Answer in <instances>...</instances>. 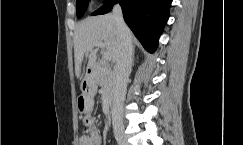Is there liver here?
I'll list each match as a JSON object with an SVG mask.
<instances>
[{"label":"liver","instance_id":"6515ba94","mask_svg":"<svg viewBox=\"0 0 243 145\" xmlns=\"http://www.w3.org/2000/svg\"><path fill=\"white\" fill-rule=\"evenodd\" d=\"M131 38L132 34L130 32ZM103 42L106 51L110 52L112 58L116 60L119 38L116 21L113 14L88 17L78 23L74 33V58L76 77H81V67L84 56L88 55L87 69H95L97 51L93 44Z\"/></svg>","mask_w":243,"mask_h":145}]
</instances>
